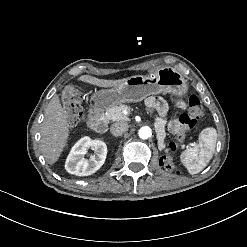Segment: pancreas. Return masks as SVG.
Listing matches in <instances>:
<instances>
[{
	"label": "pancreas",
	"instance_id": "cf45deb5",
	"mask_svg": "<svg viewBox=\"0 0 247 247\" xmlns=\"http://www.w3.org/2000/svg\"><path fill=\"white\" fill-rule=\"evenodd\" d=\"M124 109H130L129 106L119 105L114 106L106 110V112L102 113V116L106 117L108 120L111 121H126L128 120V115L123 113ZM166 119H155L154 126H155V133L158 139V148L162 150L164 148V139H165V124Z\"/></svg>",
	"mask_w": 247,
	"mask_h": 247
}]
</instances>
